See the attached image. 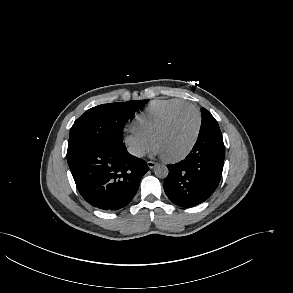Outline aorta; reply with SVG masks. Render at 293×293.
Instances as JSON below:
<instances>
[{
  "mask_svg": "<svg viewBox=\"0 0 293 293\" xmlns=\"http://www.w3.org/2000/svg\"><path fill=\"white\" fill-rule=\"evenodd\" d=\"M168 168L166 165L158 164L155 169L154 173L158 178H166L168 175Z\"/></svg>",
  "mask_w": 293,
  "mask_h": 293,
  "instance_id": "762f6f07",
  "label": "aorta"
}]
</instances>
